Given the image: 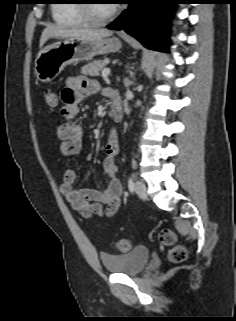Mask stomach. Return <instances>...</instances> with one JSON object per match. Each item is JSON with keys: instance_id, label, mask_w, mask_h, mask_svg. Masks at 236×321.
I'll use <instances>...</instances> for the list:
<instances>
[{"instance_id": "1", "label": "stomach", "mask_w": 236, "mask_h": 321, "mask_svg": "<svg viewBox=\"0 0 236 321\" xmlns=\"http://www.w3.org/2000/svg\"><path fill=\"white\" fill-rule=\"evenodd\" d=\"M121 47L122 43L117 38H66L39 51L35 59V75L38 80L47 83L55 79L67 65L89 60L96 55L114 53Z\"/></svg>"}]
</instances>
